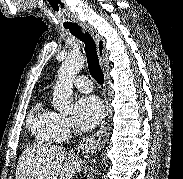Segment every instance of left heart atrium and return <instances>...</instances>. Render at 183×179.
<instances>
[{
    "instance_id": "39dd6f15",
    "label": "left heart atrium",
    "mask_w": 183,
    "mask_h": 179,
    "mask_svg": "<svg viewBox=\"0 0 183 179\" xmlns=\"http://www.w3.org/2000/svg\"><path fill=\"white\" fill-rule=\"evenodd\" d=\"M104 116V107L95 96H85L77 100L73 119L82 130H91L96 127Z\"/></svg>"
}]
</instances>
